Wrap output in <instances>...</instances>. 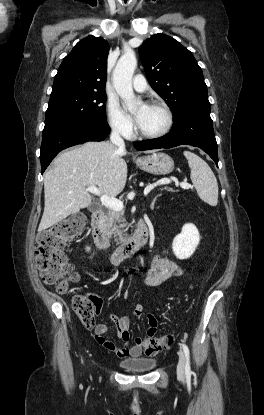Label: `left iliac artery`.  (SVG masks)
<instances>
[{
    "label": "left iliac artery",
    "mask_w": 264,
    "mask_h": 415,
    "mask_svg": "<svg viewBox=\"0 0 264 415\" xmlns=\"http://www.w3.org/2000/svg\"><path fill=\"white\" fill-rule=\"evenodd\" d=\"M182 348L183 351L185 353V358H186V363H185V374L186 377L189 378L192 374L191 368H190V353H189V348L187 347L186 344L182 343Z\"/></svg>",
    "instance_id": "left-iliac-artery-1"
}]
</instances>
